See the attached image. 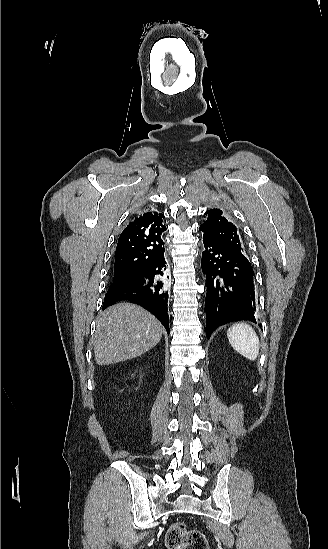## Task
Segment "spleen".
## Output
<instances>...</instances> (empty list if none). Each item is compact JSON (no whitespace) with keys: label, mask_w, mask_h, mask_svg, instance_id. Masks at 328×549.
<instances>
[{"label":"spleen","mask_w":328,"mask_h":549,"mask_svg":"<svg viewBox=\"0 0 328 549\" xmlns=\"http://www.w3.org/2000/svg\"><path fill=\"white\" fill-rule=\"evenodd\" d=\"M228 341L240 355L255 361L260 349V341L252 327L246 323H235L227 331Z\"/></svg>","instance_id":"spleen-1"}]
</instances>
